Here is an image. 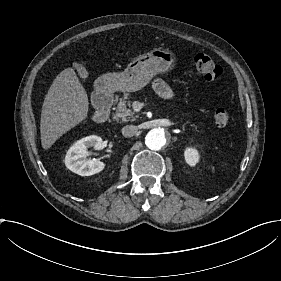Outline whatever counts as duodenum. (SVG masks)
<instances>
[{
	"label": "duodenum",
	"mask_w": 281,
	"mask_h": 281,
	"mask_svg": "<svg viewBox=\"0 0 281 281\" xmlns=\"http://www.w3.org/2000/svg\"><path fill=\"white\" fill-rule=\"evenodd\" d=\"M112 102L111 94L106 91H99L95 94L94 104L96 106V112L94 119L96 122L103 123L108 119Z\"/></svg>",
	"instance_id": "1"
}]
</instances>
